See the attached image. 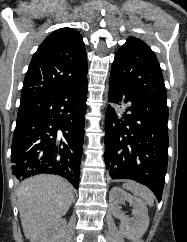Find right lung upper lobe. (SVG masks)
<instances>
[{
  "instance_id": "1",
  "label": "right lung upper lobe",
  "mask_w": 187,
  "mask_h": 242,
  "mask_svg": "<svg viewBox=\"0 0 187 242\" xmlns=\"http://www.w3.org/2000/svg\"><path fill=\"white\" fill-rule=\"evenodd\" d=\"M87 55L82 36L71 28L51 33L34 54L21 101L76 85L86 79Z\"/></svg>"
}]
</instances>
